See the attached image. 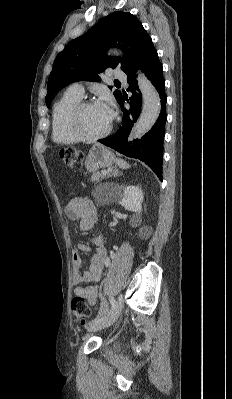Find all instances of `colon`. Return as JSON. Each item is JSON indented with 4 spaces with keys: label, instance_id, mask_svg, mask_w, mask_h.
<instances>
[{
    "label": "colon",
    "instance_id": "obj_1",
    "mask_svg": "<svg viewBox=\"0 0 232 399\" xmlns=\"http://www.w3.org/2000/svg\"><path fill=\"white\" fill-rule=\"evenodd\" d=\"M86 160V155L79 153V147L69 146L65 150L64 163L71 168H78L79 162ZM72 301H85V296H72ZM86 318H91V308H86V303H72L71 307V324L75 325L76 320H81V326H86Z\"/></svg>",
    "mask_w": 232,
    "mask_h": 399
}]
</instances>
